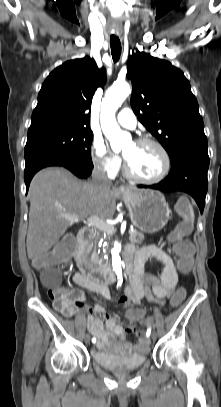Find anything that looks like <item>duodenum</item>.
Wrapping results in <instances>:
<instances>
[{
	"mask_svg": "<svg viewBox=\"0 0 221 407\" xmlns=\"http://www.w3.org/2000/svg\"><path fill=\"white\" fill-rule=\"evenodd\" d=\"M90 231L82 229L77 236L78 247L75 255L76 262L82 274L95 282L109 283L115 279V274L110 268L96 266L86 253V241ZM133 270L131 254L126 252L124 257V272L131 273Z\"/></svg>",
	"mask_w": 221,
	"mask_h": 407,
	"instance_id": "duodenum-1",
	"label": "duodenum"
}]
</instances>
